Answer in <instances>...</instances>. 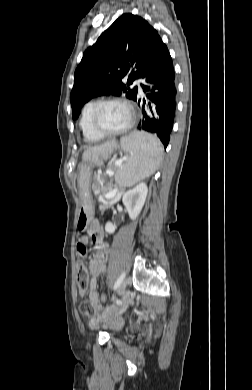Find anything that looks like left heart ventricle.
I'll list each match as a JSON object with an SVG mask.
<instances>
[{"label":"left heart ventricle","mask_w":252,"mask_h":390,"mask_svg":"<svg viewBox=\"0 0 252 390\" xmlns=\"http://www.w3.org/2000/svg\"><path fill=\"white\" fill-rule=\"evenodd\" d=\"M129 120V109L121 103H109L104 105L98 115V121L101 127L108 131L123 128L127 125Z\"/></svg>","instance_id":"left-heart-ventricle-1"}]
</instances>
